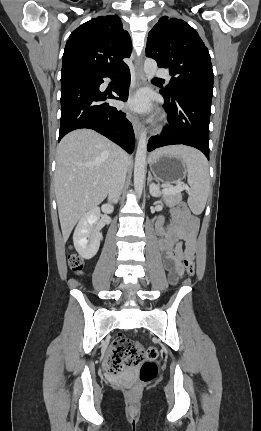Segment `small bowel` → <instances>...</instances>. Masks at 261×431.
<instances>
[{"label": "small bowel", "mask_w": 261, "mask_h": 431, "mask_svg": "<svg viewBox=\"0 0 261 431\" xmlns=\"http://www.w3.org/2000/svg\"><path fill=\"white\" fill-rule=\"evenodd\" d=\"M172 222L166 224L164 218H159L156 223V231L161 236L157 248L162 255L165 269L169 272L173 283L184 274L182 262L184 258L194 253V235L197 221L180 207L173 208ZM187 245L186 252L182 249V243ZM145 349V346H142Z\"/></svg>", "instance_id": "small-bowel-1"}]
</instances>
